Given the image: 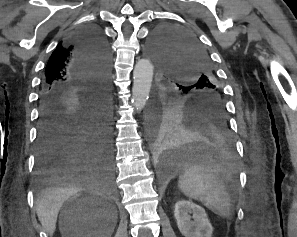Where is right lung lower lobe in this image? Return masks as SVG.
Instances as JSON below:
<instances>
[{
    "mask_svg": "<svg viewBox=\"0 0 297 237\" xmlns=\"http://www.w3.org/2000/svg\"><path fill=\"white\" fill-rule=\"evenodd\" d=\"M69 41L75 48L73 70L84 88L73 92L63 87L42 90L36 171L40 177L110 175L113 146L108 113V42L96 26L78 30Z\"/></svg>",
    "mask_w": 297,
    "mask_h": 237,
    "instance_id": "98d812e1",
    "label": "right lung lower lobe"
}]
</instances>
